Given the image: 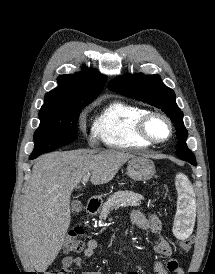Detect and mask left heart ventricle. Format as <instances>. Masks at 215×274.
Returning a JSON list of instances; mask_svg holds the SVG:
<instances>
[{"label":"left heart ventricle","instance_id":"1","mask_svg":"<svg viewBox=\"0 0 215 274\" xmlns=\"http://www.w3.org/2000/svg\"><path fill=\"white\" fill-rule=\"evenodd\" d=\"M150 133L156 139H164L168 136V126L161 119H154L149 126Z\"/></svg>","mask_w":215,"mask_h":274}]
</instances>
